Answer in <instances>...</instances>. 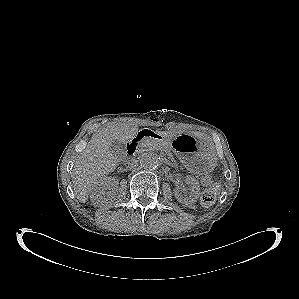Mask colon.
<instances>
[{"label":"colon","mask_w":299,"mask_h":299,"mask_svg":"<svg viewBox=\"0 0 299 299\" xmlns=\"http://www.w3.org/2000/svg\"><path fill=\"white\" fill-rule=\"evenodd\" d=\"M201 184L206 187L201 196V202L204 206H210L216 200L218 186L213 184L212 178L209 175H204L201 178Z\"/></svg>","instance_id":"1"}]
</instances>
